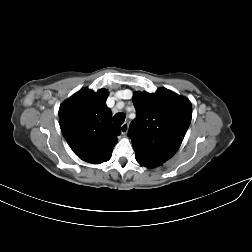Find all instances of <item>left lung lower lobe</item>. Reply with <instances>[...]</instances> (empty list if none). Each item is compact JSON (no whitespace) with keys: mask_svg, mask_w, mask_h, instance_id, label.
Listing matches in <instances>:
<instances>
[{"mask_svg":"<svg viewBox=\"0 0 252 252\" xmlns=\"http://www.w3.org/2000/svg\"><path fill=\"white\" fill-rule=\"evenodd\" d=\"M135 158L140 165L145 166L147 168H155V167H158L162 164V162H160V161L148 158V157L141 155L139 153H135Z\"/></svg>","mask_w":252,"mask_h":252,"instance_id":"obj_1","label":"left lung lower lobe"}]
</instances>
